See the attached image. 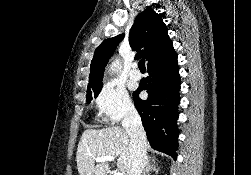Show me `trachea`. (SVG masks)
Listing matches in <instances>:
<instances>
[{
  "mask_svg": "<svg viewBox=\"0 0 251 175\" xmlns=\"http://www.w3.org/2000/svg\"><path fill=\"white\" fill-rule=\"evenodd\" d=\"M138 67L141 71H145V60L143 58L139 61Z\"/></svg>",
  "mask_w": 251,
  "mask_h": 175,
  "instance_id": "1",
  "label": "trachea"
}]
</instances>
